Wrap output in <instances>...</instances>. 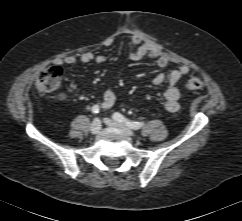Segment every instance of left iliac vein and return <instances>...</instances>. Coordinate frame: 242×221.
I'll list each match as a JSON object with an SVG mask.
<instances>
[{"mask_svg":"<svg viewBox=\"0 0 242 221\" xmlns=\"http://www.w3.org/2000/svg\"><path fill=\"white\" fill-rule=\"evenodd\" d=\"M104 123L110 127H115V128H118V129H121L123 130L127 135L131 136V137H135V133L128 129L124 124L122 123H119L117 121H114L112 119H109V118H104L103 119Z\"/></svg>","mask_w":242,"mask_h":221,"instance_id":"1","label":"left iliac vein"}]
</instances>
